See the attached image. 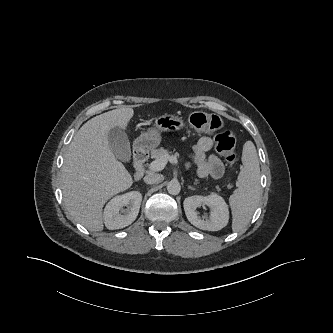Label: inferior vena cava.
Instances as JSON below:
<instances>
[{
	"mask_svg": "<svg viewBox=\"0 0 333 333\" xmlns=\"http://www.w3.org/2000/svg\"><path fill=\"white\" fill-rule=\"evenodd\" d=\"M161 180H163V175L161 174L149 173L144 177V182L147 184L158 183Z\"/></svg>",
	"mask_w": 333,
	"mask_h": 333,
	"instance_id": "obj_1",
	"label": "inferior vena cava"
}]
</instances>
